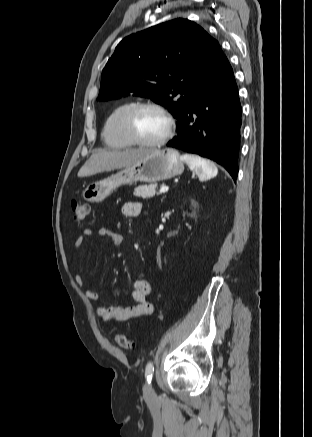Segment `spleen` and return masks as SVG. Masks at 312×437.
<instances>
[{"label":"spleen","instance_id":"3e777b00","mask_svg":"<svg viewBox=\"0 0 312 437\" xmlns=\"http://www.w3.org/2000/svg\"><path fill=\"white\" fill-rule=\"evenodd\" d=\"M180 158L198 175L200 181L211 179L218 173L217 167L212 162L200 156L183 154Z\"/></svg>","mask_w":312,"mask_h":437}]
</instances>
